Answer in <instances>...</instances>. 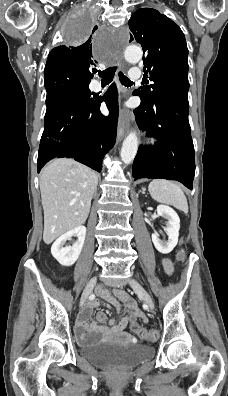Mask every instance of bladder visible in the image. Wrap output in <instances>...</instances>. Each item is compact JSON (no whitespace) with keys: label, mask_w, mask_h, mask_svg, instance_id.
<instances>
[{"label":"bladder","mask_w":228,"mask_h":396,"mask_svg":"<svg viewBox=\"0 0 228 396\" xmlns=\"http://www.w3.org/2000/svg\"><path fill=\"white\" fill-rule=\"evenodd\" d=\"M81 356L101 367L131 368L149 359L153 348L146 345L103 341L80 349Z\"/></svg>","instance_id":"1"}]
</instances>
